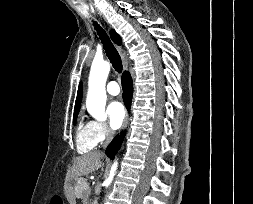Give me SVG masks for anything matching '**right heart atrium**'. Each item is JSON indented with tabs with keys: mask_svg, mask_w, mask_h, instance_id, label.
I'll return each instance as SVG.
<instances>
[{
	"mask_svg": "<svg viewBox=\"0 0 253 204\" xmlns=\"http://www.w3.org/2000/svg\"><path fill=\"white\" fill-rule=\"evenodd\" d=\"M90 124L96 143H103L111 137L112 132L106 123L102 121L92 120L90 121Z\"/></svg>",
	"mask_w": 253,
	"mask_h": 204,
	"instance_id": "right-heart-atrium-1",
	"label": "right heart atrium"
}]
</instances>
